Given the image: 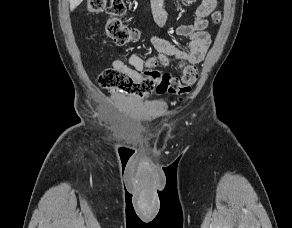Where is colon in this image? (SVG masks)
Here are the masks:
<instances>
[{"mask_svg":"<svg viewBox=\"0 0 292 228\" xmlns=\"http://www.w3.org/2000/svg\"><path fill=\"white\" fill-rule=\"evenodd\" d=\"M195 0H182L188 5ZM85 10L87 14L107 13L105 31L107 36L117 45H125L136 42L140 38L137 28L129 27L120 19L126 11L125 0H87ZM213 22L218 24L221 14H213ZM150 64L154 60H150ZM198 73L195 67H184L181 70V78H172L168 74L161 75L157 71H147L140 80H134L131 76L115 69H106L98 77V82L105 89H117L137 97H144L153 92L176 94L180 98L188 95L194 88Z\"/></svg>","mask_w":292,"mask_h":228,"instance_id":"colon-1","label":"colon"}]
</instances>
